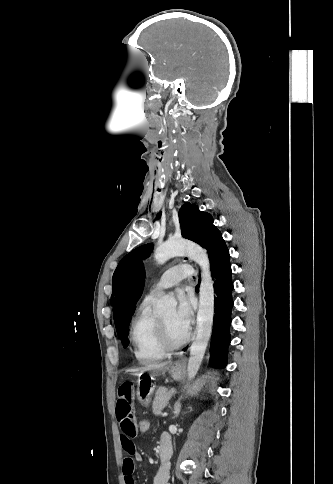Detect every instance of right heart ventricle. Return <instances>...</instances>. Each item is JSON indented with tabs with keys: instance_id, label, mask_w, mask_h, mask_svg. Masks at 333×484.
I'll return each instance as SVG.
<instances>
[{
	"instance_id": "right-heart-ventricle-1",
	"label": "right heart ventricle",
	"mask_w": 333,
	"mask_h": 484,
	"mask_svg": "<svg viewBox=\"0 0 333 484\" xmlns=\"http://www.w3.org/2000/svg\"><path fill=\"white\" fill-rule=\"evenodd\" d=\"M152 301V296H146L131 322L130 336L134 354L142 364L159 361L166 354L157 337V316L153 312Z\"/></svg>"
}]
</instances>
